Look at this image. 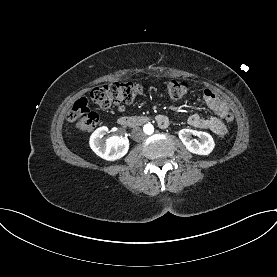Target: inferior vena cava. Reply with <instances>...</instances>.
<instances>
[{
  "label": "inferior vena cava",
  "instance_id": "1",
  "mask_svg": "<svg viewBox=\"0 0 277 277\" xmlns=\"http://www.w3.org/2000/svg\"><path fill=\"white\" fill-rule=\"evenodd\" d=\"M146 137L145 133L142 131L141 128H134L132 130V138L133 140L140 142L142 140H144Z\"/></svg>",
  "mask_w": 277,
  "mask_h": 277
}]
</instances>
